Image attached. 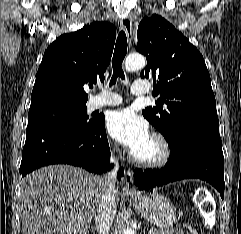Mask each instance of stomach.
<instances>
[{
	"instance_id": "0dacf381",
	"label": "stomach",
	"mask_w": 241,
	"mask_h": 234,
	"mask_svg": "<svg viewBox=\"0 0 241 234\" xmlns=\"http://www.w3.org/2000/svg\"><path fill=\"white\" fill-rule=\"evenodd\" d=\"M128 200L135 205L142 217L161 229L172 227L176 220L175 206L162 195L152 193L144 196L128 197Z\"/></svg>"
}]
</instances>
